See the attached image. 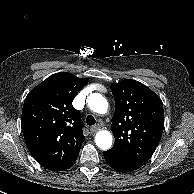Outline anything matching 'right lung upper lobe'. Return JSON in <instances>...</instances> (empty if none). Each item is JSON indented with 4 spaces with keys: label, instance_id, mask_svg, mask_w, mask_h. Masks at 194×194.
I'll return each mask as SVG.
<instances>
[{
    "label": "right lung upper lobe",
    "instance_id": "obj_1",
    "mask_svg": "<svg viewBox=\"0 0 194 194\" xmlns=\"http://www.w3.org/2000/svg\"><path fill=\"white\" fill-rule=\"evenodd\" d=\"M68 72L53 74L25 98L21 126L34 159L51 171H63L75 163L85 139L81 113L72 106L88 83Z\"/></svg>",
    "mask_w": 194,
    "mask_h": 194
}]
</instances>
